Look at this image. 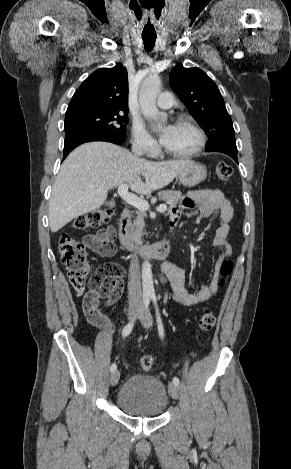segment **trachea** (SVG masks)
Returning <instances> with one entry per match:
<instances>
[{
	"label": "trachea",
	"mask_w": 291,
	"mask_h": 469,
	"mask_svg": "<svg viewBox=\"0 0 291 469\" xmlns=\"http://www.w3.org/2000/svg\"><path fill=\"white\" fill-rule=\"evenodd\" d=\"M156 37H143V43L147 51H151L155 45Z\"/></svg>",
	"instance_id": "trachea-1"
}]
</instances>
